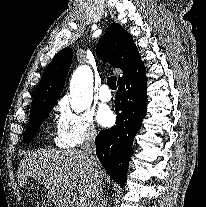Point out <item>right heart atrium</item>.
<instances>
[{
	"instance_id": "1",
	"label": "right heart atrium",
	"mask_w": 206,
	"mask_h": 207,
	"mask_svg": "<svg viewBox=\"0 0 206 207\" xmlns=\"http://www.w3.org/2000/svg\"><path fill=\"white\" fill-rule=\"evenodd\" d=\"M56 143L61 148L71 149L95 142L98 131L89 112H76L67 102L59 105Z\"/></svg>"
}]
</instances>
